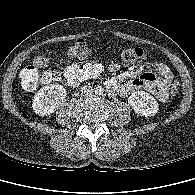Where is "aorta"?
Returning a JSON list of instances; mask_svg holds the SVG:
<instances>
[{"label": "aorta", "instance_id": "762f6f07", "mask_svg": "<svg viewBox=\"0 0 195 195\" xmlns=\"http://www.w3.org/2000/svg\"><path fill=\"white\" fill-rule=\"evenodd\" d=\"M95 92L99 95H102L103 94V88L102 87H97Z\"/></svg>", "mask_w": 195, "mask_h": 195}]
</instances>
